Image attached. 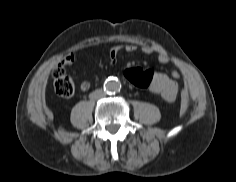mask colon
<instances>
[{
	"label": "colon",
	"instance_id": "1",
	"mask_svg": "<svg viewBox=\"0 0 236 182\" xmlns=\"http://www.w3.org/2000/svg\"><path fill=\"white\" fill-rule=\"evenodd\" d=\"M124 76L131 85L141 89L149 88L153 80V72L151 70H144L139 67L126 69ZM53 78L55 90L59 95L69 97L74 93V83L63 67H58L54 71Z\"/></svg>",
	"mask_w": 236,
	"mask_h": 182
}]
</instances>
